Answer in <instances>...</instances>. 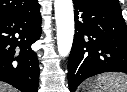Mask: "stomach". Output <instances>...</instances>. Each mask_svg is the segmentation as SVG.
<instances>
[{"label": "stomach", "mask_w": 127, "mask_h": 92, "mask_svg": "<svg viewBox=\"0 0 127 92\" xmlns=\"http://www.w3.org/2000/svg\"><path fill=\"white\" fill-rule=\"evenodd\" d=\"M94 89V85L89 84L88 87L85 89V92H91Z\"/></svg>", "instance_id": "stomach-1"}]
</instances>
